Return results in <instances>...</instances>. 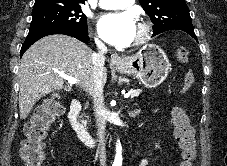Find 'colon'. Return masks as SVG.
<instances>
[{
  "label": "colon",
  "mask_w": 227,
  "mask_h": 166,
  "mask_svg": "<svg viewBox=\"0 0 227 166\" xmlns=\"http://www.w3.org/2000/svg\"><path fill=\"white\" fill-rule=\"evenodd\" d=\"M176 61L182 64L188 62V50L179 46L176 50ZM194 83V75L187 72L183 78L182 90L187 91ZM63 100L58 95L47 98L36 110L31 120L25 126V138L21 146V162L23 166H42L45 157V139L51 126L63 112ZM172 125L174 135L181 149V166H192L195 158L194 130L188 115L182 106L173 108Z\"/></svg>",
  "instance_id": "5ec220e1"
}]
</instances>
